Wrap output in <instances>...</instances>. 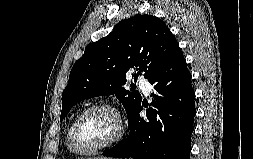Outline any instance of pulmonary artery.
I'll list each match as a JSON object with an SVG mask.
<instances>
[{
  "mask_svg": "<svg viewBox=\"0 0 253 159\" xmlns=\"http://www.w3.org/2000/svg\"><path fill=\"white\" fill-rule=\"evenodd\" d=\"M138 86L145 95H148L150 93V82L147 79L140 77Z\"/></svg>",
  "mask_w": 253,
  "mask_h": 159,
  "instance_id": "e3ab8cb5",
  "label": "pulmonary artery"
}]
</instances>
